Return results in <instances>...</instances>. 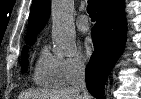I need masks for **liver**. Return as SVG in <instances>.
Returning <instances> with one entry per match:
<instances>
[{"label":"liver","mask_w":141,"mask_h":99,"mask_svg":"<svg viewBox=\"0 0 141 99\" xmlns=\"http://www.w3.org/2000/svg\"><path fill=\"white\" fill-rule=\"evenodd\" d=\"M19 99H83L73 87L59 90L29 89L19 95Z\"/></svg>","instance_id":"obj_1"}]
</instances>
